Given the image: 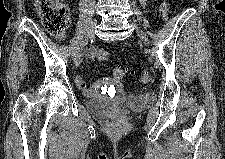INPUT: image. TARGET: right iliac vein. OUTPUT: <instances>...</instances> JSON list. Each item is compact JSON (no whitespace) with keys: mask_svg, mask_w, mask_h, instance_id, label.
I'll use <instances>...</instances> for the list:
<instances>
[{"mask_svg":"<svg viewBox=\"0 0 225 159\" xmlns=\"http://www.w3.org/2000/svg\"><path fill=\"white\" fill-rule=\"evenodd\" d=\"M96 25H97V21L96 20H93L90 23V25H89L86 33H85V38H84V40L79 45L80 49L74 55V59L73 60H74V63L76 65H78L79 62H80V59H81V56H82V53L81 52H82L84 46L86 45V43L88 42V40H90L93 37V34H94V30H95Z\"/></svg>","mask_w":225,"mask_h":159,"instance_id":"1","label":"right iliac vein"}]
</instances>
